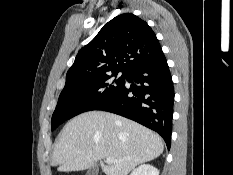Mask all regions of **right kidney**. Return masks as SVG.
<instances>
[{
    "mask_svg": "<svg viewBox=\"0 0 233 175\" xmlns=\"http://www.w3.org/2000/svg\"><path fill=\"white\" fill-rule=\"evenodd\" d=\"M130 175H159V170L150 164H142L134 169Z\"/></svg>",
    "mask_w": 233,
    "mask_h": 175,
    "instance_id": "right-kidney-1",
    "label": "right kidney"
}]
</instances>
